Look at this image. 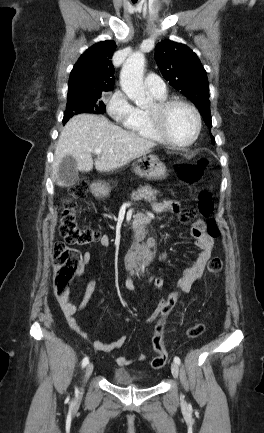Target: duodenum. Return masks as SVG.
<instances>
[{"label": "duodenum", "instance_id": "410a0bca", "mask_svg": "<svg viewBox=\"0 0 264 433\" xmlns=\"http://www.w3.org/2000/svg\"><path fill=\"white\" fill-rule=\"evenodd\" d=\"M97 194H99L98 191ZM142 219H143V215H136L132 220V225L141 223ZM136 256L139 257L140 264H149L154 258L153 248L149 247L148 245L139 246L136 248L135 255L133 256V258H135Z\"/></svg>", "mask_w": 264, "mask_h": 433}]
</instances>
